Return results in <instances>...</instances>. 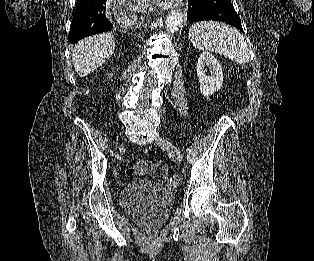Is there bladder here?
I'll return each mask as SVG.
<instances>
[{"label": "bladder", "instance_id": "31cf9c89", "mask_svg": "<svg viewBox=\"0 0 314 261\" xmlns=\"http://www.w3.org/2000/svg\"><path fill=\"white\" fill-rule=\"evenodd\" d=\"M120 202L128 215L160 223L168 216L174 203V196L162 183L137 180L122 188Z\"/></svg>", "mask_w": 314, "mask_h": 261}]
</instances>
